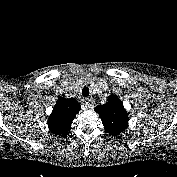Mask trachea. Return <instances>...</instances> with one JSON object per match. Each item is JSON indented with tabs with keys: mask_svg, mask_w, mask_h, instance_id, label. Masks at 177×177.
Wrapping results in <instances>:
<instances>
[{
	"mask_svg": "<svg viewBox=\"0 0 177 177\" xmlns=\"http://www.w3.org/2000/svg\"><path fill=\"white\" fill-rule=\"evenodd\" d=\"M82 96H84V97L89 96V88H88L87 86H85V87L82 89Z\"/></svg>",
	"mask_w": 177,
	"mask_h": 177,
	"instance_id": "1",
	"label": "trachea"
}]
</instances>
